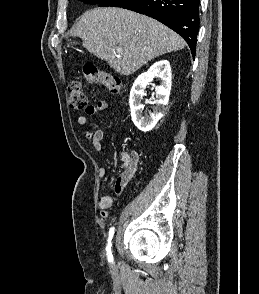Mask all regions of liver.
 <instances>
[{"mask_svg": "<svg viewBox=\"0 0 259 294\" xmlns=\"http://www.w3.org/2000/svg\"><path fill=\"white\" fill-rule=\"evenodd\" d=\"M70 35L81 38L84 48L121 75L133 74L148 61L185 46L182 37L157 20L116 7L86 11Z\"/></svg>", "mask_w": 259, "mask_h": 294, "instance_id": "1", "label": "liver"}]
</instances>
